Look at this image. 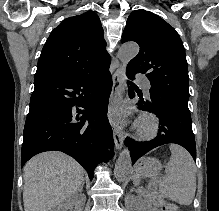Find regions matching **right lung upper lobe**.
<instances>
[{"label": "right lung upper lobe", "instance_id": "right-lung-upper-lobe-1", "mask_svg": "<svg viewBox=\"0 0 219 211\" xmlns=\"http://www.w3.org/2000/svg\"><path fill=\"white\" fill-rule=\"evenodd\" d=\"M99 17L86 12L62 21L48 37L35 76L89 73L110 63Z\"/></svg>", "mask_w": 219, "mask_h": 211}]
</instances>
